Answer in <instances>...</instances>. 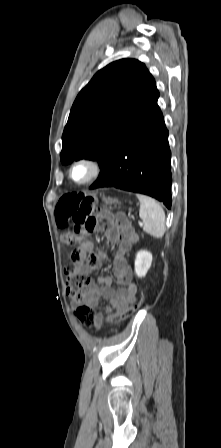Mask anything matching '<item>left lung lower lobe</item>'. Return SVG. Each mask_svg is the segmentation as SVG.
Returning a JSON list of instances; mask_svg holds the SVG:
<instances>
[{"label":"left lung lower lobe","mask_w":221,"mask_h":448,"mask_svg":"<svg viewBox=\"0 0 221 448\" xmlns=\"http://www.w3.org/2000/svg\"><path fill=\"white\" fill-rule=\"evenodd\" d=\"M171 152L162 112L156 103L117 146L91 189L116 187L142 193L170 209Z\"/></svg>","instance_id":"left-lung-lower-lobe-1"}]
</instances>
